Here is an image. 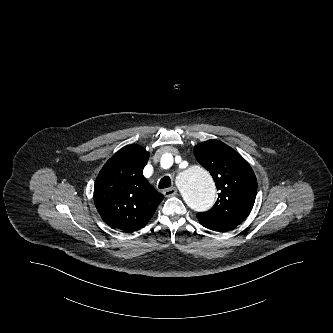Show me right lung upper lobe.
Wrapping results in <instances>:
<instances>
[{
  "label": "right lung upper lobe",
  "mask_w": 333,
  "mask_h": 333,
  "mask_svg": "<svg viewBox=\"0 0 333 333\" xmlns=\"http://www.w3.org/2000/svg\"><path fill=\"white\" fill-rule=\"evenodd\" d=\"M150 153L132 144L115 153L99 172L94 202L111 227L133 232L144 227L163 200L143 176Z\"/></svg>",
  "instance_id": "1"
}]
</instances>
